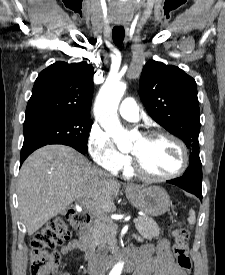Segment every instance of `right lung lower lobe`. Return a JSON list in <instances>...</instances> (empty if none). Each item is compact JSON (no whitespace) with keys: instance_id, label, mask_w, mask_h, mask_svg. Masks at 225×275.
Wrapping results in <instances>:
<instances>
[{"instance_id":"98d812e1","label":"right lung lower lobe","mask_w":225,"mask_h":275,"mask_svg":"<svg viewBox=\"0 0 225 275\" xmlns=\"http://www.w3.org/2000/svg\"><path fill=\"white\" fill-rule=\"evenodd\" d=\"M47 145L46 143H33L22 147L21 150V157H20V165L23 163V161L36 149ZM79 151V150H78ZM82 154H86L85 152L79 151Z\"/></svg>"}]
</instances>
